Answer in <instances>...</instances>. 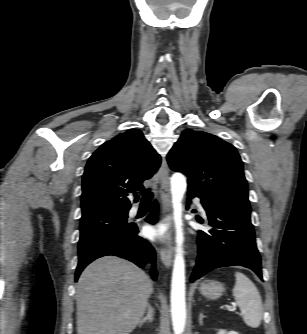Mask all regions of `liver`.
I'll use <instances>...</instances> for the list:
<instances>
[{
  "instance_id": "obj_1",
  "label": "liver",
  "mask_w": 307,
  "mask_h": 334,
  "mask_svg": "<svg viewBox=\"0 0 307 334\" xmlns=\"http://www.w3.org/2000/svg\"><path fill=\"white\" fill-rule=\"evenodd\" d=\"M152 282L130 261L104 256L76 285L77 334H129L142 320Z\"/></svg>"
}]
</instances>
